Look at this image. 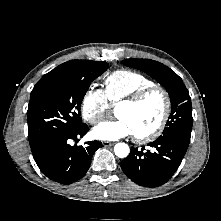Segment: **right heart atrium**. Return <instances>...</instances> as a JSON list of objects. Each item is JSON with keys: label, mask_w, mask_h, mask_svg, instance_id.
<instances>
[{"label": "right heart atrium", "mask_w": 221, "mask_h": 221, "mask_svg": "<svg viewBox=\"0 0 221 221\" xmlns=\"http://www.w3.org/2000/svg\"><path fill=\"white\" fill-rule=\"evenodd\" d=\"M109 108L110 105L103 91L89 88L82 97L80 112L87 123L96 125L105 117Z\"/></svg>", "instance_id": "right-heart-atrium-1"}]
</instances>
